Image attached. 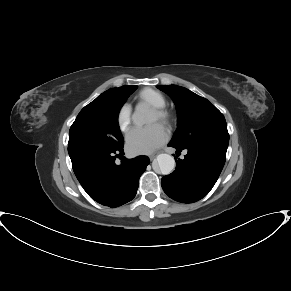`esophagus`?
<instances>
[{"label": "esophagus", "mask_w": 291, "mask_h": 291, "mask_svg": "<svg viewBox=\"0 0 291 291\" xmlns=\"http://www.w3.org/2000/svg\"><path fill=\"white\" fill-rule=\"evenodd\" d=\"M158 155V153H153L149 156L150 160H153L156 156Z\"/></svg>", "instance_id": "34e87169"}]
</instances>
